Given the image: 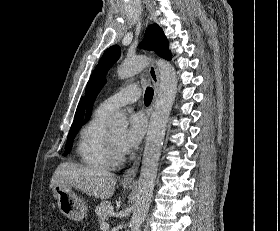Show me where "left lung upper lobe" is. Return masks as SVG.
I'll list each match as a JSON object with an SVG mask.
<instances>
[{
    "instance_id": "left-lung-upper-lobe-1",
    "label": "left lung upper lobe",
    "mask_w": 280,
    "mask_h": 231,
    "mask_svg": "<svg viewBox=\"0 0 280 231\" xmlns=\"http://www.w3.org/2000/svg\"><path fill=\"white\" fill-rule=\"evenodd\" d=\"M142 47L148 50H153L157 55L170 60L171 52L169 51L168 40L165 37L162 29L157 25H150L145 34V39L142 42ZM121 48L119 46H112L108 48L101 57L98 65L93 71L90 80L86 87V108L87 116L85 123L89 119L93 107V103L102 88L107 70L119 59Z\"/></svg>"
}]
</instances>
